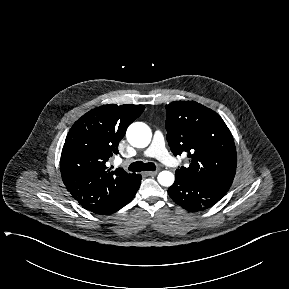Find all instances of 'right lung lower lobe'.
Returning <instances> with one entry per match:
<instances>
[{"instance_id":"98d812e1","label":"right lung lower lobe","mask_w":289,"mask_h":289,"mask_svg":"<svg viewBox=\"0 0 289 289\" xmlns=\"http://www.w3.org/2000/svg\"><path fill=\"white\" fill-rule=\"evenodd\" d=\"M141 179H142L141 175L138 174L136 179H135L136 185H135V188L133 189V191L125 199H123L118 204H116L115 207H113L112 209H110L109 211H107L104 214L114 213V212L118 211L119 209H121L122 207H124L127 203H129L134 198V196H135V194H136V192L140 186Z\"/></svg>"}]
</instances>
